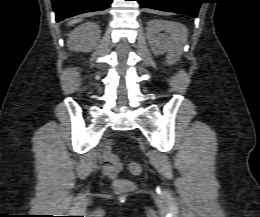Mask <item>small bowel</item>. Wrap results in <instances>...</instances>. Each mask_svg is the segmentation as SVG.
Here are the masks:
<instances>
[{
  "label": "small bowel",
  "instance_id": "1",
  "mask_svg": "<svg viewBox=\"0 0 260 217\" xmlns=\"http://www.w3.org/2000/svg\"><path fill=\"white\" fill-rule=\"evenodd\" d=\"M102 159L106 162L103 166V173L108 178H115L122 170V162L118 156L111 152V142H109L102 151Z\"/></svg>",
  "mask_w": 260,
  "mask_h": 217
}]
</instances>
